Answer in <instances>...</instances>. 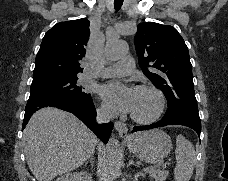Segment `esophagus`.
I'll use <instances>...</instances> for the list:
<instances>
[{
  "mask_svg": "<svg viewBox=\"0 0 228 181\" xmlns=\"http://www.w3.org/2000/svg\"><path fill=\"white\" fill-rule=\"evenodd\" d=\"M114 126L120 137L128 136V128L124 123L116 121Z\"/></svg>",
  "mask_w": 228,
  "mask_h": 181,
  "instance_id": "1",
  "label": "esophagus"
}]
</instances>
